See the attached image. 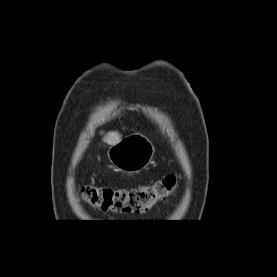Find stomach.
Returning a JSON list of instances; mask_svg holds the SVG:
<instances>
[{"instance_id": "1", "label": "stomach", "mask_w": 277, "mask_h": 277, "mask_svg": "<svg viewBox=\"0 0 277 277\" xmlns=\"http://www.w3.org/2000/svg\"><path fill=\"white\" fill-rule=\"evenodd\" d=\"M155 153L153 143L143 134L135 133L108 150V158L117 170L138 173L145 169Z\"/></svg>"}]
</instances>
